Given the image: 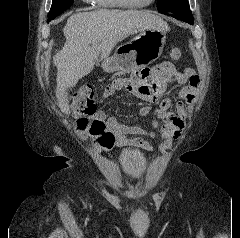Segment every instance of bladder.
<instances>
[{"mask_svg":"<svg viewBox=\"0 0 240 238\" xmlns=\"http://www.w3.org/2000/svg\"><path fill=\"white\" fill-rule=\"evenodd\" d=\"M119 167L130 181L141 180L148 167V158L140 150L124 148L118 156Z\"/></svg>","mask_w":240,"mask_h":238,"instance_id":"31cf9c89","label":"bladder"}]
</instances>
